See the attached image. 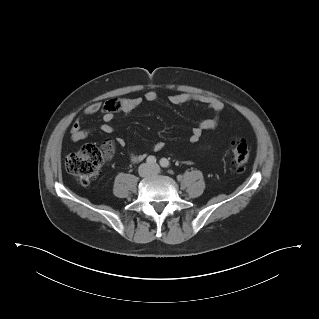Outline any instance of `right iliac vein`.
<instances>
[{
  "label": "right iliac vein",
  "mask_w": 319,
  "mask_h": 319,
  "mask_svg": "<svg viewBox=\"0 0 319 319\" xmlns=\"http://www.w3.org/2000/svg\"><path fill=\"white\" fill-rule=\"evenodd\" d=\"M139 174H140V176H142V177H147V176H149V175L151 174V168H150V166L147 165V164L142 165V166L140 167V169H139Z\"/></svg>",
  "instance_id": "1"
}]
</instances>
